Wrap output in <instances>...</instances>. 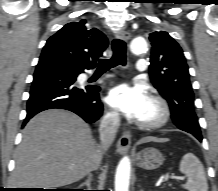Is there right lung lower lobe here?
<instances>
[{"label": "right lung lower lobe", "mask_w": 218, "mask_h": 191, "mask_svg": "<svg viewBox=\"0 0 218 191\" xmlns=\"http://www.w3.org/2000/svg\"><path fill=\"white\" fill-rule=\"evenodd\" d=\"M83 72L67 63L39 61L27 101V116L23 126L37 113L53 108L72 111L87 123L97 121L103 112L98 95L100 88L75 85L77 76L74 74Z\"/></svg>", "instance_id": "98d812e1"}]
</instances>
